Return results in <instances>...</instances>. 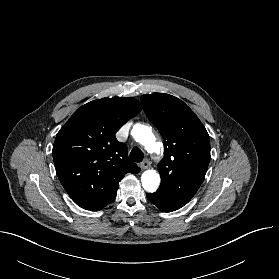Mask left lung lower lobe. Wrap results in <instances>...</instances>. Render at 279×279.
Returning a JSON list of instances; mask_svg holds the SVG:
<instances>
[{
	"label": "left lung lower lobe",
	"instance_id": "obj_1",
	"mask_svg": "<svg viewBox=\"0 0 279 279\" xmlns=\"http://www.w3.org/2000/svg\"><path fill=\"white\" fill-rule=\"evenodd\" d=\"M146 197L151 203L164 212L175 211L189 202L185 199L166 197L158 193H147Z\"/></svg>",
	"mask_w": 279,
	"mask_h": 279
}]
</instances>
